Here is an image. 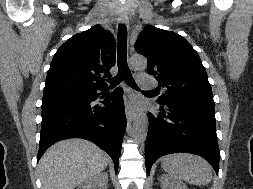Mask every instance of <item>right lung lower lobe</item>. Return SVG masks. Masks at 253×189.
<instances>
[{
	"mask_svg": "<svg viewBox=\"0 0 253 189\" xmlns=\"http://www.w3.org/2000/svg\"><path fill=\"white\" fill-rule=\"evenodd\" d=\"M107 87L43 95L41 137L37 161L52 144L67 138H83L96 143L113 159L115 171L126 117L122 89L116 88L102 102L104 107L91 105Z\"/></svg>",
	"mask_w": 253,
	"mask_h": 189,
	"instance_id": "obj_1",
	"label": "right lung lower lobe"
}]
</instances>
